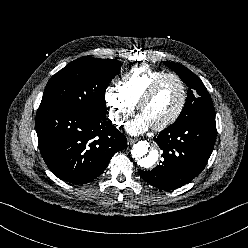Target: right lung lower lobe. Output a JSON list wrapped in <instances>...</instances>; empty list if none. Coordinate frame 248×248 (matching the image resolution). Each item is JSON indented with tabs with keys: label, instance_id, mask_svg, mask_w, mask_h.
Wrapping results in <instances>:
<instances>
[{
	"label": "right lung lower lobe",
	"instance_id": "obj_1",
	"mask_svg": "<svg viewBox=\"0 0 248 248\" xmlns=\"http://www.w3.org/2000/svg\"><path fill=\"white\" fill-rule=\"evenodd\" d=\"M39 149L60 179L83 184L99 175L112 156L127 147L124 134L105 116L63 107H39L36 114Z\"/></svg>",
	"mask_w": 248,
	"mask_h": 248
}]
</instances>
